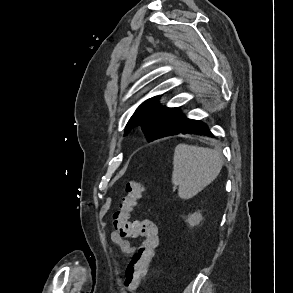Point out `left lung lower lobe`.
I'll list each match as a JSON object with an SVG mask.
<instances>
[{"instance_id": "obj_1", "label": "left lung lower lobe", "mask_w": 293, "mask_h": 293, "mask_svg": "<svg viewBox=\"0 0 293 293\" xmlns=\"http://www.w3.org/2000/svg\"><path fill=\"white\" fill-rule=\"evenodd\" d=\"M177 134H199L213 137L205 123L198 120L188 119L184 116L175 126V128L172 129L166 136Z\"/></svg>"}]
</instances>
